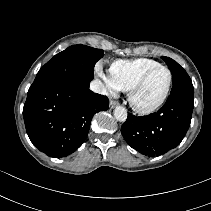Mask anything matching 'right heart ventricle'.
<instances>
[{
    "instance_id": "1",
    "label": "right heart ventricle",
    "mask_w": 211,
    "mask_h": 211,
    "mask_svg": "<svg viewBox=\"0 0 211 211\" xmlns=\"http://www.w3.org/2000/svg\"><path fill=\"white\" fill-rule=\"evenodd\" d=\"M157 65L160 64L148 58L117 60L110 66V77L119 90L129 91L145 71Z\"/></svg>"
}]
</instances>
